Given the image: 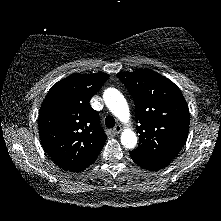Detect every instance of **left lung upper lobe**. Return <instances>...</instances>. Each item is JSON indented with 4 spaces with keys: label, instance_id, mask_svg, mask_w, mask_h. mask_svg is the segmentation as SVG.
<instances>
[{
    "label": "left lung upper lobe",
    "instance_id": "1",
    "mask_svg": "<svg viewBox=\"0 0 221 221\" xmlns=\"http://www.w3.org/2000/svg\"><path fill=\"white\" fill-rule=\"evenodd\" d=\"M133 97L139 145L131 153L153 161L171 162L185 145L190 115L180 89L152 71L117 74Z\"/></svg>",
    "mask_w": 221,
    "mask_h": 221
}]
</instances>
